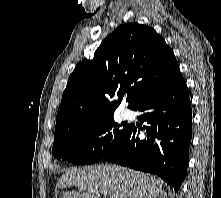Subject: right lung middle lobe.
I'll return each mask as SVG.
<instances>
[{
    "mask_svg": "<svg viewBox=\"0 0 221 198\" xmlns=\"http://www.w3.org/2000/svg\"><path fill=\"white\" fill-rule=\"evenodd\" d=\"M123 126V128H120ZM130 124H117L113 115L54 138L52 153L78 165L92 164L113 150L125 136Z\"/></svg>",
    "mask_w": 221,
    "mask_h": 198,
    "instance_id": "1",
    "label": "right lung middle lobe"
}]
</instances>
